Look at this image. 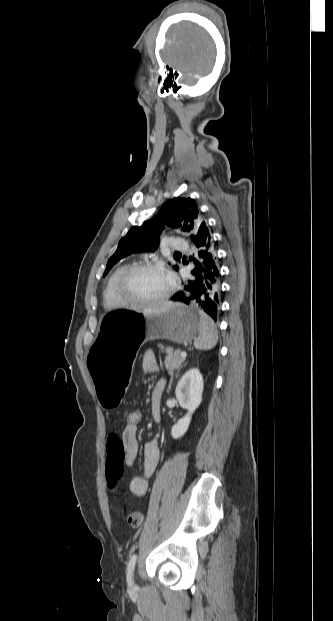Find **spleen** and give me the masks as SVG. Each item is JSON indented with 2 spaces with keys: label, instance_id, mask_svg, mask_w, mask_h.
Wrapping results in <instances>:
<instances>
[{
  "label": "spleen",
  "instance_id": "spleen-1",
  "mask_svg": "<svg viewBox=\"0 0 333 621\" xmlns=\"http://www.w3.org/2000/svg\"><path fill=\"white\" fill-rule=\"evenodd\" d=\"M199 335L194 341L198 350H211L218 342V332L214 321L205 312L200 311Z\"/></svg>",
  "mask_w": 333,
  "mask_h": 621
}]
</instances>
